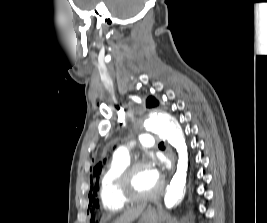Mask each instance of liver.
<instances>
[{
	"instance_id": "6515ba94",
	"label": "liver",
	"mask_w": 267,
	"mask_h": 223,
	"mask_svg": "<svg viewBox=\"0 0 267 223\" xmlns=\"http://www.w3.org/2000/svg\"><path fill=\"white\" fill-rule=\"evenodd\" d=\"M145 206L141 205L125 211L115 223H131L141 215Z\"/></svg>"
}]
</instances>
